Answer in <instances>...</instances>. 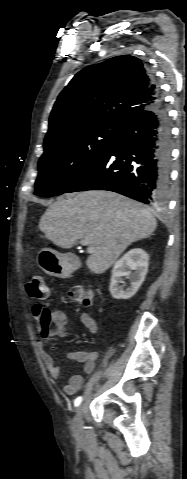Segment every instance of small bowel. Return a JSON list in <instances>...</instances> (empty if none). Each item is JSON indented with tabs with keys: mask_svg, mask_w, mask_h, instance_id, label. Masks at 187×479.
Wrapping results in <instances>:
<instances>
[{
	"mask_svg": "<svg viewBox=\"0 0 187 479\" xmlns=\"http://www.w3.org/2000/svg\"><path fill=\"white\" fill-rule=\"evenodd\" d=\"M52 317L55 323V330L53 335L57 338H67L69 336V331L67 329V318L62 311H53ZM80 321L82 324L89 330L90 333L96 334L98 332V323L96 319L89 313H81ZM39 354L40 357L47 368L49 375L53 379H58L61 376L60 367L54 363L53 358L42 346V343H39ZM66 357L69 360L76 361L83 364V371L86 374H90L94 371L97 354L92 351H83V350H73L66 353ZM83 377L81 374L73 375L69 378L67 383L63 386V392L66 395L72 396L76 394L82 387Z\"/></svg>",
	"mask_w": 187,
	"mask_h": 479,
	"instance_id": "obj_1",
	"label": "small bowel"
}]
</instances>
